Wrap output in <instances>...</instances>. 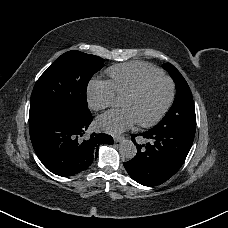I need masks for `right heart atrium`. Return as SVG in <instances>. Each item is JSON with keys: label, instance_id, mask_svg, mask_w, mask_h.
I'll return each instance as SVG.
<instances>
[{"label": "right heart atrium", "instance_id": "right-heart-atrium-1", "mask_svg": "<svg viewBox=\"0 0 228 228\" xmlns=\"http://www.w3.org/2000/svg\"><path fill=\"white\" fill-rule=\"evenodd\" d=\"M88 103L93 110H104L114 104L116 94L108 81H93L88 86Z\"/></svg>", "mask_w": 228, "mask_h": 228}]
</instances>
